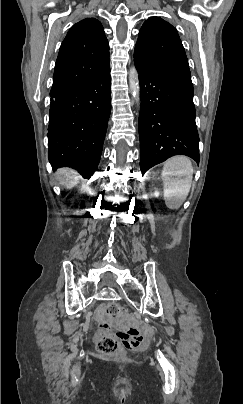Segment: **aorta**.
<instances>
[{
	"mask_svg": "<svg viewBox=\"0 0 243 404\" xmlns=\"http://www.w3.org/2000/svg\"><path fill=\"white\" fill-rule=\"evenodd\" d=\"M129 84H130V90H131L136 102H139L140 86H139V82L137 80L136 68H131V70H130Z\"/></svg>",
	"mask_w": 243,
	"mask_h": 404,
	"instance_id": "obj_1",
	"label": "aorta"
}]
</instances>
